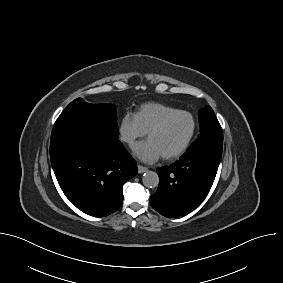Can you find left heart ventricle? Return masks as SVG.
<instances>
[{
    "mask_svg": "<svg viewBox=\"0 0 283 283\" xmlns=\"http://www.w3.org/2000/svg\"><path fill=\"white\" fill-rule=\"evenodd\" d=\"M190 131V118L180 115L172 118L160 131L152 134L149 140L154 142L162 155L170 154L182 146Z\"/></svg>",
    "mask_w": 283,
    "mask_h": 283,
    "instance_id": "1",
    "label": "left heart ventricle"
}]
</instances>
